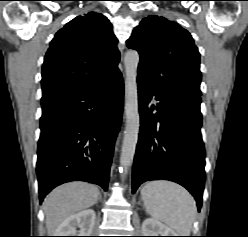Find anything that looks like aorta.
<instances>
[{
  "mask_svg": "<svg viewBox=\"0 0 248 237\" xmlns=\"http://www.w3.org/2000/svg\"><path fill=\"white\" fill-rule=\"evenodd\" d=\"M139 54L137 51H128L124 57L126 73L125 82V113L126 126L120 155V169L123 176L133 162L138 142L140 117L137 92V68Z\"/></svg>",
  "mask_w": 248,
  "mask_h": 237,
  "instance_id": "1",
  "label": "aorta"
}]
</instances>
